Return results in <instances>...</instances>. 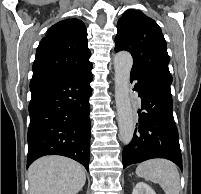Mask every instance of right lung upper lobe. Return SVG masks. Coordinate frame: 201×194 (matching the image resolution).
<instances>
[{
	"mask_svg": "<svg viewBox=\"0 0 201 194\" xmlns=\"http://www.w3.org/2000/svg\"><path fill=\"white\" fill-rule=\"evenodd\" d=\"M85 24L76 18L50 27L41 40L33 64V77H73L92 69Z\"/></svg>",
	"mask_w": 201,
	"mask_h": 194,
	"instance_id": "right-lung-upper-lobe-1",
	"label": "right lung upper lobe"
}]
</instances>
